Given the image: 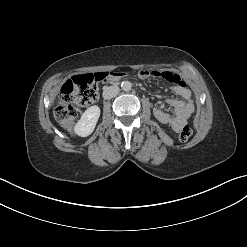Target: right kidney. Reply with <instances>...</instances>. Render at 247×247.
I'll return each mask as SVG.
<instances>
[{"label":"right kidney","instance_id":"obj_1","mask_svg":"<svg viewBox=\"0 0 247 247\" xmlns=\"http://www.w3.org/2000/svg\"><path fill=\"white\" fill-rule=\"evenodd\" d=\"M100 116V108L97 105L89 107L74 126L75 134L81 137L89 136L95 129Z\"/></svg>","mask_w":247,"mask_h":247}]
</instances>
